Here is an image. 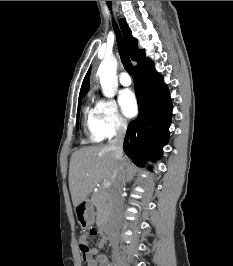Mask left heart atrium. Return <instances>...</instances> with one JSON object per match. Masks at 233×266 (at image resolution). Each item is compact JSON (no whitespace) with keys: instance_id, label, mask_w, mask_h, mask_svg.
<instances>
[{"instance_id":"obj_1","label":"left heart atrium","mask_w":233,"mask_h":266,"mask_svg":"<svg viewBox=\"0 0 233 266\" xmlns=\"http://www.w3.org/2000/svg\"><path fill=\"white\" fill-rule=\"evenodd\" d=\"M119 103L122 112L127 117H133L137 113V100L130 90H123L119 95Z\"/></svg>"}]
</instances>
